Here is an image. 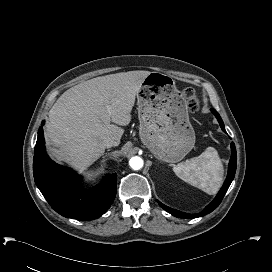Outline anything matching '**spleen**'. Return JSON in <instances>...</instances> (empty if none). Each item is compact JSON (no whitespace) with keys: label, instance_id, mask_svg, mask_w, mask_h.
I'll return each mask as SVG.
<instances>
[{"label":"spleen","instance_id":"3e777b00","mask_svg":"<svg viewBox=\"0 0 272 272\" xmlns=\"http://www.w3.org/2000/svg\"><path fill=\"white\" fill-rule=\"evenodd\" d=\"M173 171L181 180L212 195L222 184L224 170L216 149L208 147L198 157L174 166Z\"/></svg>","mask_w":272,"mask_h":272}]
</instances>
